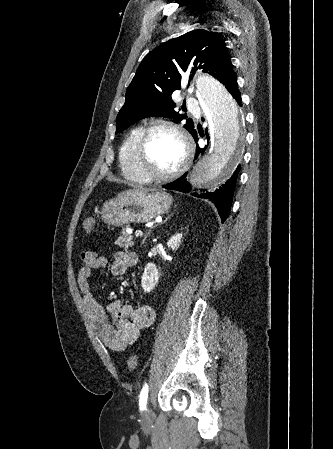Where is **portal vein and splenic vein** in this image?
Wrapping results in <instances>:
<instances>
[{
	"instance_id": "obj_1",
	"label": "portal vein and splenic vein",
	"mask_w": 333,
	"mask_h": 449,
	"mask_svg": "<svg viewBox=\"0 0 333 449\" xmlns=\"http://www.w3.org/2000/svg\"><path fill=\"white\" fill-rule=\"evenodd\" d=\"M135 235L138 237V236H142L143 235V232L142 231H136L135 232Z\"/></svg>"
}]
</instances>
